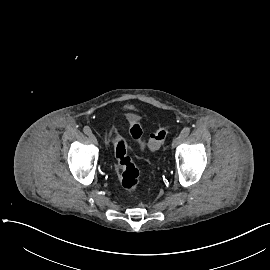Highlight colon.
Masks as SVG:
<instances>
[{
    "label": "colon",
    "instance_id": "5ec220e1",
    "mask_svg": "<svg viewBox=\"0 0 270 270\" xmlns=\"http://www.w3.org/2000/svg\"><path fill=\"white\" fill-rule=\"evenodd\" d=\"M128 130L133 140L141 141L139 146L141 150H155L161 147L168 136V131L164 127H159L148 135H144V129L136 117L128 120ZM114 151L120 183L125 192L134 194L140 186L139 172L128 153L127 140L123 134L116 135Z\"/></svg>",
    "mask_w": 270,
    "mask_h": 270
}]
</instances>
